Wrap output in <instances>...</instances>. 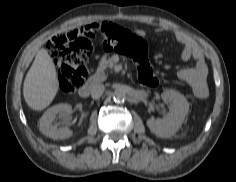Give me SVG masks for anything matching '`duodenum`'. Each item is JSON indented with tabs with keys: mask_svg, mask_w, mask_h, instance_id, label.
Returning <instances> with one entry per match:
<instances>
[{
	"mask_svg": "<svg viewBox=\"0 0 236 182\" xmlns=\"http://www.w3.org/2000/svg\"><path fill=\"white\" fill-rule=\"evenodd\" d=\"M102 72L98 73L97 75L91 77L88 82H86L81 88L79 89V94L82 97H87L92 89L98 84L102 79Z\"/></svg>",
	"mask_w": 236,
	"mask_h": 182,
	"instance_id": "1",
	"label": "duodenum"
}]
</instances>
